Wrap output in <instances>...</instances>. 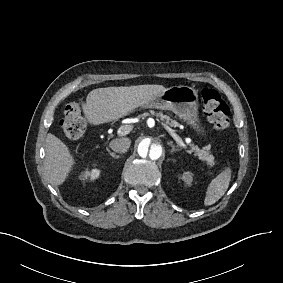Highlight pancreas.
<instances>
[{
    "instance_id": "pancreas-1",
    "label": "pancreas",
    "mask_w": 283,
    "mask_h": 283,
    "mask_svg": "<svg viewBox=\"0 0 283 283\" xmlns=\"http://www.w3.org/2000/svg\"><path fill=\"white\" fill-rule=\"evenodd\" d=\"M151 113L154 114L153 111H151ZM155 116L157 117V121H163L165 124L169 126L179 125L176 121L172 120L169 116L164 115L163 113H158ZM205 149H207V147L199 150V148L195 146V147H192L191 151L194 152L198 156V159L203 162V165H207L208 168H213L214 167V156L208 151H206Z\"/></svg>"
}]
</instances>
